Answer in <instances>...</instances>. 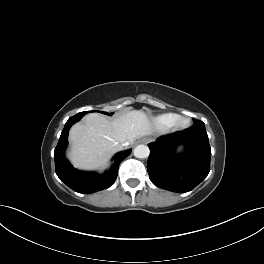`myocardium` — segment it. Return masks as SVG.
Here are the masks:
<instances>
[{"label":"myocardium","instance_id":"f54148a6","mask_svg":"<svg viewBox=\"0 0 264 264\" xmlns=\"http://www.w3.org/2000/svg\"><path fill=\"white\" fill-rule=\"evenodd\" d=\"M188 126H189V119L187 117L177 116L172 125V128L174 130H183L186 129Z\"/></svg>","mask_w":264,"mask_h":264}]
</instances>
